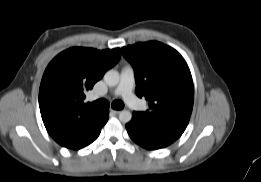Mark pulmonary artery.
<instances>
[{"label":"pulmonary artery","instance_id":"1","mask_svg":"<svg viewBox=\"0 0 261 182\" xmlns=\"http://www.w3.org/2000/svg\"><path fill=\"white\" fill-rule=\"evenodd\" d=\"M134 83V69L131 66H126L121 72L120 80L117 87L113 91V96H121L128 105L144 110L146 107L141 105L139 100L133 94ZM93 98H97V96H94Z\"/></svg>","mask_w":261,"mask_h":182}]
</instances>
